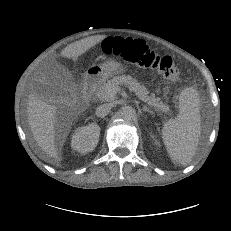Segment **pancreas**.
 <instances>
[{
	"label": "pancreas",
	"mask_w": 231,
	"mask_h": 231,
	"mask_svg": "<svg viewBox=\"0 0 231 231\" xmlns=\"http://www.w3.org/2000/svg\"><path fill=\"white\" fill-rule=\"evenodd\" d=\"M118 85H126L130 90L136 93L140 100L152 106L155 111H162L166 113L170 112L169 106L160 101V98L149 96V92L147 91L146 87L141 85L131 76L121 75L113 77L112 79L104 82L98 88H96L94 91V95L101 101H111L114 96H110L108 94V90Z\"/></svg>",
	"instance_id": "cf45deb5"
}]
</instances>
